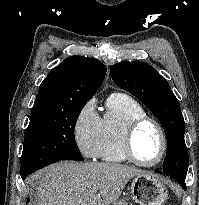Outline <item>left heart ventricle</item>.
Returning <instances> with one entry per match:
<instances>
[{"label": "left heart ventricle", "instance_id": "b2bd125f", "mask_svg": "<svg viewBox=\"0 0 199 205\" xmlns=\"http://www.w3.org/2000/svg\"><path fill=\"white\" fill-rule=\"evenodd\" d=\"M161 138L152 124L141 126L134 137L135 155L143 162L155 161L161 152Z\"/></svg>", "mask_w": 199, "mask_h": 205}]
</instances>
